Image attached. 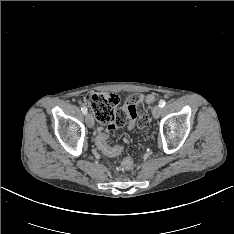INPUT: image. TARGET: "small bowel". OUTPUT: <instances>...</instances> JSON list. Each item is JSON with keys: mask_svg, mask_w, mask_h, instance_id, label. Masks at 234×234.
Instances as JSON below:
<instances>
[{"mask_svg": "<svg viewBox=\"0 0 234 234\" xmlns=\"http://www.w3.org/2000/svg\"><path fill=\"white\" fill-rule=\"evenodd\" d=\"M153 95V94H151ZM144 103H147L142 95H129L121 111L127 116V129L132 130L137 126L140 129L145 128L149 122L150 115L144 110ZM98 147V146H97Z\"/></svg>", "mask_w": 234, "mask_h": 234, "instance_id": "1", "label": "small bowel"}]
</instances>
